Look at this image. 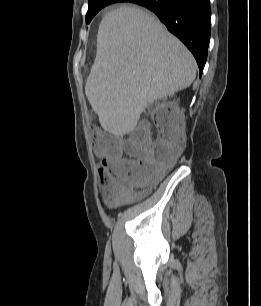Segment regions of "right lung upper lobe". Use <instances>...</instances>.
Instances as JSON below:
<instances>
[{
    "mask_svg": "<svg viewBox=\"0 0 261 306\" xmlns=\"http://www.w3.org/2000/svg\"><path fill=\"white\" fill-rule=\"evenodd\" d=\"M93 1H100V2H103V1H122V2H128L130 0H89V2H93Z\"/></svg>",
    "mask_w": 261,
    "mask_h": 306,
    "instance_id": "right-lung-upper-lobe-1",
    "label": "right lung upper lobe"
}]
</instances>
